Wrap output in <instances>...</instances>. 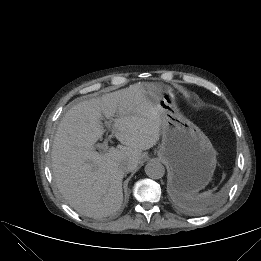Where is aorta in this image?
Listing matches in <instances>:
<instances>
[{
    "instance_id": "762f6f07",
    "label": "aorta",
    "mask_w": 261,
    "mask_h": 261,
    "mask_svg": "<svg viewBox=\"0 0 261 261\" xmlns=\"http://www.w3.org/2000/svg\"><path fill=\"white\" fill-rule=\"evenodd\" d=\"M145 173L152 179H161L165 174V168L158 161H150L145 166Z\"/></svg>"
}]
</instances>
